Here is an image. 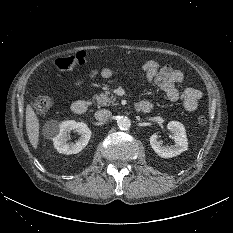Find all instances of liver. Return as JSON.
<instances>
[{
	"label": "liver",
	"instance_id": "liver-1",
	"mask_svg": "<svg viewBox=\"0 0 233 233\" xmlns=\"http://www.w3.org/2000/svg\"><path fill=\"white\" fill-rule=\"evenodd\" d=\"M39 120L30 104L26 107V130L33 148H37L39 141Z\"/></svg>",
	"mask_w": 233,
	"mask_h": 233
}]
</instances>
